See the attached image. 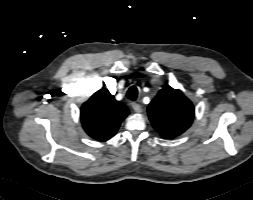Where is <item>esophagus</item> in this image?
Masks as SVG:
<instances>
[{"label": "esophagus", "instance_id": "obj_1", "mask_svg": "<svg viewBox=\"0 0 253 200\" xmlns=\"http://www.w3.org/2000/svg\"><path fill=\"white\" fill-rule=\"evenodd\" d=\"M132 108L135 112L139 113L142 111V107L137 103H132Z\"/></svg>", "mask_w": 253, "mask_h": 200}]
</instances>
